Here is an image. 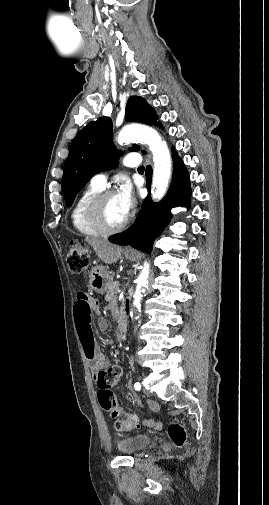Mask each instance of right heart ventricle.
I'll return each mask as SVG.
<instances>
[{"label":"right heart ventricle","mask_w":269,"mask_h":505,"mask_svg":"<svg viewBox=\"0 0 269 505\" xmlns=\"http://www.w3.org/2000/svg\"><path fill=\"white\" fill-rule=\"evenodd\" d=\"M102 191L93 184H90L77 198L72 211L71 222L76 232L84 237H98L102 235L96 228L92 226L87 217V208L91 200Z\"/></svg>","instance_id":"right-heart-ventricle-1"}]
</instances>
